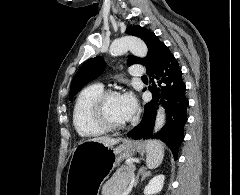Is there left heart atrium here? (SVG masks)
Listing matches in <instances>:
<instances>
[{"mask_svg": "<svg viewBox=\"0 0 240 195\" xmlns=\"http://www.w3.org/2000/svg\"><path fill=\"white\" fill-rule=\"evenodd\" d=\"M123 110L128 121L132 120L138 110V103L135 95L131 92L124 93L121 96Z\"/></svg>", "mask_w": 240, "mask_h": 195, "instance_id": "left-heart-atrium-1", "label": "left heart atrium"}]
</instances>
